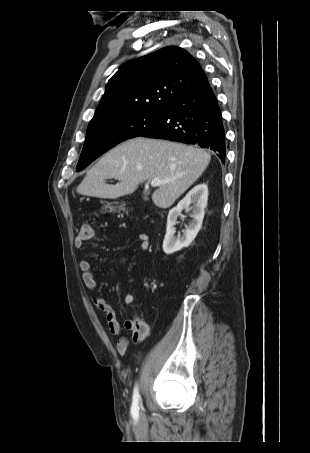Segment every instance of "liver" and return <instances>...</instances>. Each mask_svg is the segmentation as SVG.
<instances>
[{
	"mask_svg": "<svg viewBox=\"0 0 310 453\" xmlns=\"http://www.w3.org/2000/svg\"><path fill=\"white\" fill-rule=\"evenodd\" d=\"M211 160L205 150L166 140L136 137L100 158L87 172L76 192L81 195L116 199L132 194L145 180H170L152 194L159 208H169L204 172ZM109 178L120 180L116 185Z\"/></svg>",
	"mask_w": 310,
	"mask_h": 453,
	"instance_id": "1",
	"label": "liver"
}]
</instances>
